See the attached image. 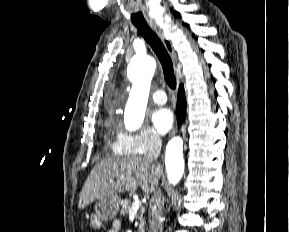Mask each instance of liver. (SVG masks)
<instances>
[{"label": "liver", "instance_id": "liver-1", "mask_svg": "<svg viewBox=\"0 0 289 232\" xmlns=\"http://www.w3.org/2000/svg\"><path fill=\"white\" fill-rule=\"evenodd\" d=\"M160 175L159 166L141 157L103 159L88 175L80 193L78 207L82 209L95 200L116 195L118 192H134L138 186L144 193H152L157 187Z\"/></svg>", "mask_w": 289, "mask_h": 232}]
</instances>
